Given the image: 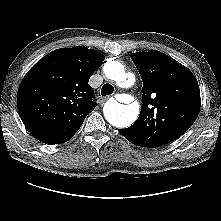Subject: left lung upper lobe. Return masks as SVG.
Segmentation results:
<instances>
[{"label":"left lung upper lobe","instance_id":"obj_1","mask_svg":"<svg viewBox=\"0 0 221 221\" xmlns=\"http://www.w3.org/2000/svg\"><path fill=\"white\" fill-rule=\"evenodd\" d=\"M131 59L143 81V104L136 122L126 128L130 142L151 148L172 142L199 114L198 82L189 69L162 52H137Z\"/></svg>","mask_w":221,"mask_h":221}]
</instances>
